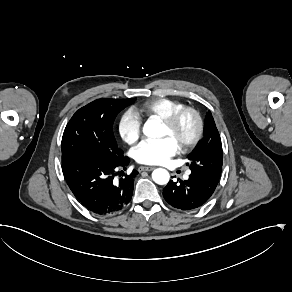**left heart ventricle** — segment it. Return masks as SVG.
I'll return each mask as SVG.
<instances>
[{"mask_svg": "<svg viewBox=\"0 0 292 292\" xmlns=\"http://www.w3.org/2000/svg\"><path fill=\"white\" fill-rule=\"evenodd\" d=\"M193 126H194L193 119L190 116H185L179 125L177 137L174 139L177 141V138L179 137L181 138L189 137L192 134ZM163 134L164 136L166 135L170 136L169 128L165 124H163Z\"/></svg>", "mask_w": 292, "mask_h": 292, "instance_id": "obj_1", "label": "left heart ventricle"}]
</instances>
